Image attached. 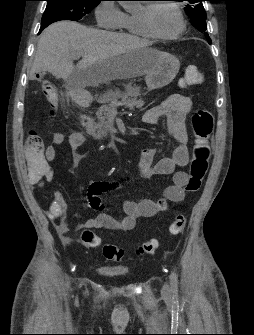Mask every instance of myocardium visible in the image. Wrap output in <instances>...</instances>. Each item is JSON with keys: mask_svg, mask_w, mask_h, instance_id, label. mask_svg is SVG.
<instances>
[{"mask_svg": "<svg viewBox=\"0 0 254 335\" xmlns=\"http://www.w3.org/2000/svg\"><path fill=\"white\" fill-rule=\"evenodd\" d=\"M160 5L170 6L177 13V15L179 17V21H180V26H179V29L176 32H174L172 34H162V33L158 32L156 30V28L154 27L153 21H152L153 12ZM139 18H140V21H141L143 27L147 30V32L152 37H155V38H158V39L174 40V39H177L178 37H180L184 33V31L186 30V21H185L183 12H182L181 8L174 2L163 1V2H156V3H153V4H146L140 10Z\"/></svg>", "mask_w": 254, "mask_h": 335, "instance_id": "myocardium-1", "label": "myocardium"}]
</instances>
